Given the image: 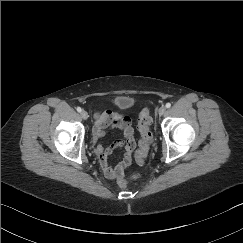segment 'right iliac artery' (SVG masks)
I'll return each mask as SVG.
<instances>
[{
    "label": "right iliac artery",
    "instance_id": "right-iliac-artery-1",
    "mask_svg": "<svg viewBox=\"0 0 243 243\" xmlns=\"http://www.w3.org/2000/svg\"><path fill=\"white\" fill-rule=\"evenodd\" d=\"M76 110H77L78 112H81V111H82V109H81L80 107H77Z\"/></svg>",
    "mask_w": 243,
    "mask_h": 243
}]
</instances>
